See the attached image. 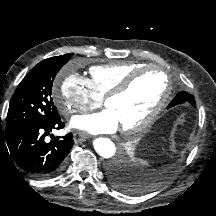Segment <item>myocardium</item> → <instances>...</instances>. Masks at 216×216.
Wrapping results in <instances>:
<instances>
[{
	"label": "myocardium",
	"mask_w": 216,
	"mask_h": 216,
	"mask_svg": "<svg viewBox=\"0 0 216 216\" xmlns=\"http://www.w3.org/2000/svg\"><path fill=\"white\" fill-rule=\"evenodd\" d=\"M157 70L159 71L165 78L166 81V89L164 94L157 102L156 106L150 111V113L139 123L129 126V127H122L121 131L126 135L137 134L139 132L144 131L148 128L160 115V113L165 109L167 106L171 94H172V82L170 79L169 74L158 66H142L139 67L129 74H127L111 91H109L104 97V104L107 106L108 102L116 97L123 95L128 89L131 87L133 82L141 75L152 71Z\"/></svg>",
	"instance_id": "obj_1"
}]
</instances>
